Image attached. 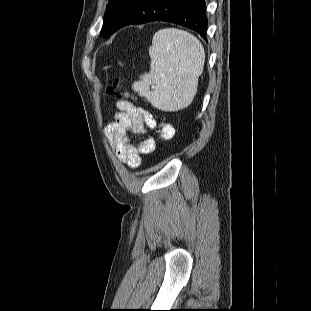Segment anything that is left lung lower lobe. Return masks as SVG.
Wrapping results in <instances>:
<instances>
[{"mask_svg": "<svg viewBox=\"0 0 311 311\" xmlns=\"http://www.w3.org/2000/svg\"><path fill=\"white\" fill-rule=\"evenodd\" d=\"M153 21L175 23L205 38L208 20L204 0H129L120 12L113 33L131 24Z\"/></svg>", "mask_w": 311, "mask_h": 311, "instance_id": "left-lung-lower-lobe-1", "label": "left lung lower lobe"}]
</instances>
